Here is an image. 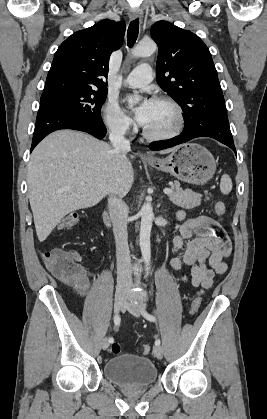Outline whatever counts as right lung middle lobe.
Segmentation results:
<instances>
[{
  "label": "right lung middle lobe",
  "instance_id": "1",
  "mask_svg": "<svg viewBox=\"0 0 267 419\" xmlns=\"http://www.w3.org/2000/svg\"><path fill=\"white\" fill-rule=\"evenodd\" d=\"M107 90L60 89L44 92L41 103H50L75 113L88 121H102L100 110L105 102Z\"/></svg>",
  "mask_w": 267,
  "mask_h": 419
}]
</instances>
